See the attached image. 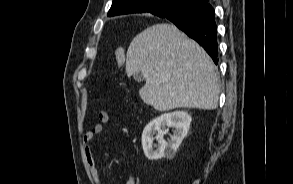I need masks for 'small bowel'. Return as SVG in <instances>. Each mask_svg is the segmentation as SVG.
Listing matches in <instances>:
<instances>
[{
	"mask_svg": "<svg viewBox=\"0 0 293 184\" xmlns=\"http://www.w3.org/2000/svg\"><path fill=\"white\" fill-rule=\"evenodd\" d=\"M109 114L107 111H100L98 114V122H96L91 129L84 135L83 141L86 146L85 158L89 168L91 177L96 184H102L100 173L97 168L96 161L93 156L92 142L95 137L101 133L103 126L109 121ZM125 184H138L134 176H130Z\"/></svg>",
	"mask_w": 293,
	"mask_h": 184,
	"instance_id": "c3829d8e",
	"label": "small bowel"
}]
</instances>
